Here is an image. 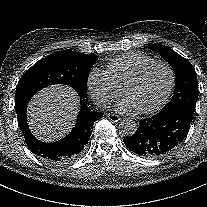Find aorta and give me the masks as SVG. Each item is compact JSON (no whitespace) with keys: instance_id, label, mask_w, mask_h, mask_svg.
<instances>
[{"instance_id":"aorta-1","label":"aorta","mask_w":207,"mask_h":207,"mask_svg":"<svg viewBox=\"0 0 207 207\" xmlns=\"http://www.w3.org/2000/svg\"><path fill=\"white\" fill-rule=\"evenodd\" d=\"M137 124L131 118L123 119L119 124V129L121 133L125 136H132L137 131Z\"/></svg>"}]
</instances>
